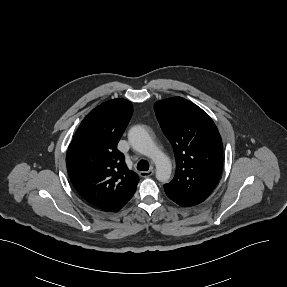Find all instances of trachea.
I'll return each instance as SVG.
<instances>
[{"label": "trachea", "instance_id": "3493384b", "mask_svg": "<svg viewBox=\"0 0 287 287\" xmlns=\"http://www.w3.org/2000/svg\"><path fill=\"white\" fill-rule=\"evenodd\" d=\"M137 169L140 171H147L149 169V163L145 160H140L137 164Z\"/></svg>", "mask_w": 287, "mask_h": 287}]
</instances>
